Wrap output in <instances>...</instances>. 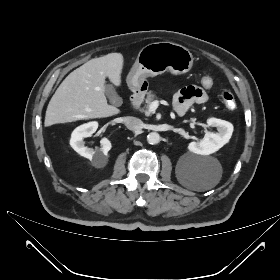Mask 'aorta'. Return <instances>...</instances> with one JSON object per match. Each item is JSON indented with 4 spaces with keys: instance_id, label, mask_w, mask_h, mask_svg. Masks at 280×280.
<instances>
[{
    "instance_id": "762f6f07",
    "label": "aorta",
    "mask_w": 280,
    "mask_h": 280,
    "mask_svg": "<svg viewBox=\"0 0 280 280\" xmlns=\"http://www.w3.org/2000/svg\"><path fill=\"white\" fill-rule=\"evenodd\" d=\"M160 140L161 137L157 132H151L147 135V142L151 145L158 144Z\"/></svg>"
}]
</instances>
